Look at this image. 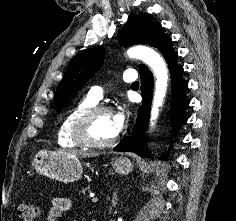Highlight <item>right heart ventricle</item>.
<instances>
[{
  "label": "right heart ventricle",
  "instance_id": "obj_1",
  "mask_svg": "<svg viewBox=\"0 0 236 221\" xmlns=\"http://www.w3.org/2000/svg\"><path fill=\"white\" fill-rule=\"evenodd\" d=\"M97 102L88 96L79 100L62 118L57 129V144L64 149L80 148L81 145L76 143L72 138V128L75 120L85 110L96 105Z\"/></svg>",
  "mask_w": 236,
  "mask_h": 221
}]
</instances>
